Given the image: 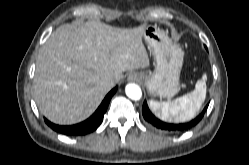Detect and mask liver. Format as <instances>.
<instances>
[{"mask_svg": "<svg viewBox=\"0 0 249 165\" xmlns=\"http://www.w3.org/2000/svg\"><path fill=\"white\" fill-rule=\"evenodd\" d=\"M145 25L127 29L98 20L58 27L42 46L34 76L39 111L60 125L79 123L93 114L123 72L150 65L142 37Z\"/></svg>", "mask_w": 249, "mask_h": 165, "instance_id": "obj_1", "label": "liver"}]
</instances>
